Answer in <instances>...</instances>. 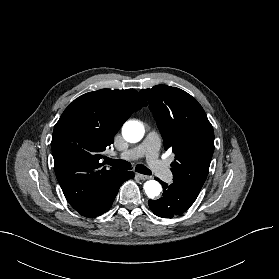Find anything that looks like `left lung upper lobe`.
<instances>
[{"label": "left lung upper lobe", "mask_w": 279, "mask_h": 279, "mask_svg": "<svg viewBox=\"0 0 279 279\" xmlns=\"http://www.w3.org/2000/svg\"><path fill=\"white\" fill-rule=\"evenodd\" d=\"M149 102L164 147L175 153L173 184L199 193L214 152V131L202 106L187 92L167 85L141 90Z\"/></svg>", "instance_id": "left-lung-upper-lobe-1"}]
</instances>
